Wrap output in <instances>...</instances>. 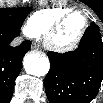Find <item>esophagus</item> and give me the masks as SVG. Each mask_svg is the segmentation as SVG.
I'll list each match as a JSON object with an SVG mask.
<instances>
[{"instance_id": "1", "label": "esophagus", "mask_w": 103, "mask_h": 103, "mask_svg": "<svg viewBox=\"0 0 103 103\" xmlns=\"http://www.w3.org/2000/svg\"><path fill=\"white\" fill-rule=\"evenodd\" d=\"M32 49L37 50V49H38L37 44L33 43V44H32Z\"/></svg>"}]
</instances>
